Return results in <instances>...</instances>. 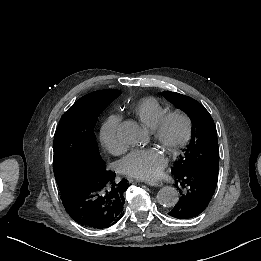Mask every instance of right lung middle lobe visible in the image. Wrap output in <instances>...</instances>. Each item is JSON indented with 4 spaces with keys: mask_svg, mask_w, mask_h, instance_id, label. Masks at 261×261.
I'll use <instances>...</instances> for the list:
<instances>
[{
    "mask_svg": "<svg viewBox=\"0 0 261 261\" xmlns=\"http://www.w3.org/2000/svg\"><path fill=\"white\" fill-rule=\"evenodd\" d=\"M119 90L90 93L76 101L61 117L54 135V175L59 187L75 172L94 175L106 168L100 156L94 127L98 116Z\"/></svg>",
    "mask_w": 261,
    "mask_h": 261,
    "instance_id": "right-lung-middle-lobe-1",
    "label": "right lung middle lobe"
}]
</instances>
